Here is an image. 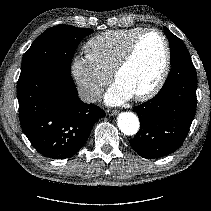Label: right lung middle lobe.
Segmentation results:
<instances>
[{
    "label": "right lung middle lobe",
    "instance_id": "obj_1",
    "mask_svg": "<svg viewBox=\"0 0 211 211\" xmlns=\"http://www.w3.org/2000/svg\"><path fill=\"white\" fill-rule=\"evenodd\" d=\"M93 30L70 25L47 29L25 53L20 76L41 67H54L71 73V62L81 40Z\"/></svg>",
    "mask_w": 211,
    "mask_h": 211
}]
</instances>
